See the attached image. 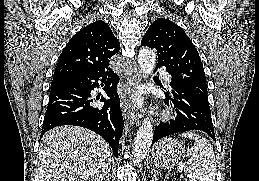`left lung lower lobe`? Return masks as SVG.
Returning <instances> with one entry per match:
<instances>
[{
  "mask_svg": "<svg viewBox=\"0 0 259 181\" xmlns=\"http://www.w3.org/2000/svg\"><path fill=\"white\" fill-rule=\"evenodd\" d=\"M163 89L166 95L165 103L167 105L174 104L177 117L175 120L168 123L161 122L156 126L152 144L165 136L189 130H202L213 140H216L211 111L208 107L175 86L170 85L167 88L163 87Z\"/></svg>",
  "mask_w": 259,
  "mask_h": 181,
  "instance_id": "0a47b994",
  "label": "left lung lower lobe"
}]
</instances>
